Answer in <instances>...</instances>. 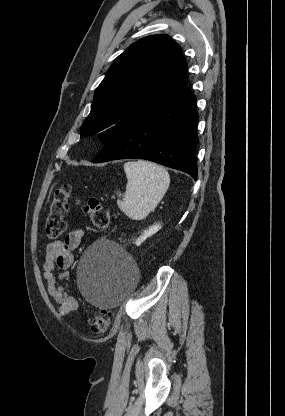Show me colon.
<instances>
[{
	"mask_svg": "<svg viewBox=\"0 0 285 416\" xmlns=\"http://www.w3.org/2000/svg\"><path fill=\"white\" fill-rule=\"evenodd\" d=\"M70 188L62 186L57 188L49 204V213L45 222V234L48 239L56 240L66 230L65 216L67 214ZM84 211L88 215L91 224L98 229H106L111 222L109 209L97 198L91 197L84 203ZM112 322L110 312L101 310L91 319L92 333L95 336L107 332Z\"/></svg>",
	"mask_w": 285,
	"mask_h": 416,
	"instance_id": "1",
	"label": "colon"
}]
</instances>
